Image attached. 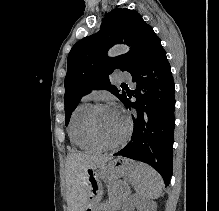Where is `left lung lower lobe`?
I'll use <instances>...</instances> for the list:
<instances>
[{
	"label": "left lung lower lobe",
	"mask_w": 219,
	"mask_h": 211,
	"mask_svg": "<svg viewBox=\"0 0 219 211\" xmlns=\"http://www.w3.org/2000/svg\"><path fill=\"white\" fill-rule=\"evenodd\" d=\"M132 79L136 90L127 93L122 103L136 110L133 133L128 145L114 155L151 165L168 185L173 163L175 86L165 50L132 74ZM132 96L135 102L130 100Z\"/></svg>",
	"instance_id": "left-lung-lower-lobe-1"
}]
</instances>
